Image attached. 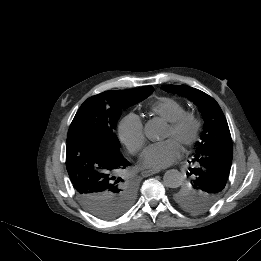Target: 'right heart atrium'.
Segmentation results:
<instances>
[{
    "mask_svg": "<svg viewBox=\"0 0 261 261\" xmlns=\"http://www.w3.org/2000/svg\"><path fill=\"white\" fill-rule=\"evenodd\" d=\"M118 135L128 151L132 154H137L145 144L141 118L135 113H128L119 122Z\"/></svg>",
    "mask_w": 261,
    "mask_h": 261,
    "instance_id": "obj_1",
    "label": "right heart atrium"
}]
</instances>
